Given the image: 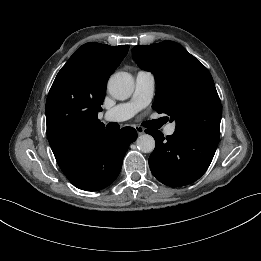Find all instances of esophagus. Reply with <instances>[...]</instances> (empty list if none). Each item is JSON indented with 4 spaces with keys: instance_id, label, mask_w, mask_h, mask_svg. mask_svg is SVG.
<instances>
[{
    "instance_id": "esophagus-1",
    "label": "esophagus",
    "mask_w": 261,
    "mask_h": 261,
    "mask_svg": "<svg viewBox=\"0 0 261 261\" xmlns=\"http://www.w3.org/2000/svg\"><path fill=\"white\" fill-rule=\"evenodd\" d=\"M135 129H136L138 135L144 134V130H145V129H144L143 127H141V126H136Z\"/></svg>"
}]
</instances>
